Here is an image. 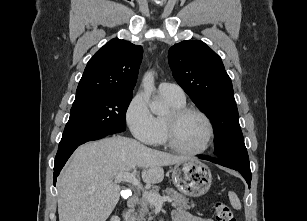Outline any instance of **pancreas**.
Instances as JSON below:
<instances>
[{
    "mask_svg": "<svg viewBox=\"0 0 307 221\" xmlns=\"http://www.w3.org/2000/svg\"><path fill=\"white\" fill-rule=\"evenodd\" d=\"M150 192L159 194V188H155ZM163 192L172 199V206L175 208L188 210L194 207V204L189 205V199L185 195L177 192L173 188H166ZM153 211L154 206L143 196L139 200L138 211L134 212L131 216V221H150L152 220Z\"/></svg>",
    "mask_w": 307,
    "mask_h": 221,
    "instance_id": "1",
    "label": "pancreas"
}]
</instances>
